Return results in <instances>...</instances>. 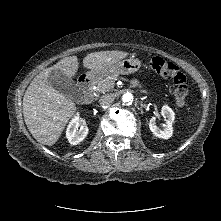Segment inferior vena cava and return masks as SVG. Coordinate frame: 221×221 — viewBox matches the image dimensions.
Instances as JSON below:
<instances>
[{
    "label": "inferior vena cava",
    "instance_id": "inferior-vena-cava-1",
    "mask_svg": "<svg viewBox=\"0 0 221 221\" xmlns=\"http://www.w3.org/2000/svg\"><path fill=\"white\" fill-rule=\"evenodd\" d=\"M113 100H114V96L112 94H105L100 97L99 103L101 105H107V104L111 103Z\"/></svg>",
    "mask_w": 221,
    "mask_h": 221
}]
</instances>
